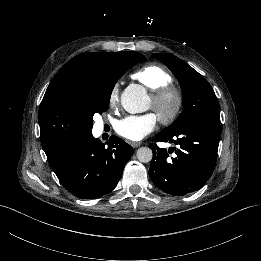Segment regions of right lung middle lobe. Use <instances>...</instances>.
<instances>
[{"mask_svg":"<svg viewBox=\"0 0 261 261\" xmlns=\"http://www.w3.org/2000/svg\"><path fill=\"white\" fill-rule=\"evenodd\" d=\"M146 58L135 52H122L112 63L101 67L89 79L86 94L85 106L93 124V115L101 114L109 107L110 96L118 79L133 65L145 61ZM46 155H51L57 149V142L54 138H48L42 143Z\"/></svg>","mask_w":261,"mask_h":261,"instance_id":"right-lung-middle-lobe-1","label":"right lung middle lobe"}]
</instances>
